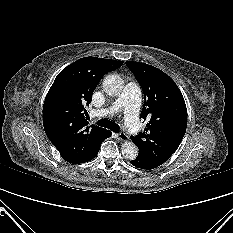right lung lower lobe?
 <instances>
[{"instance_id":"98d812e1","label":"right lung lower lobe","mask_w":233,"mask_h":233,"mask_svg":"<svg viewBox=\"0 0 233 233\" xmlns=\"http://www.w3.org/2000/svg\"><path fill=\"white\" fill-rule=\"evenodd\" d=\"M111 135H112V133L110 131H107L104 140L106 138L110 137ZM100 146H101V144L82 163L87 162L89 160H92L98 154Z\"/></svg>"}]
</instances>
